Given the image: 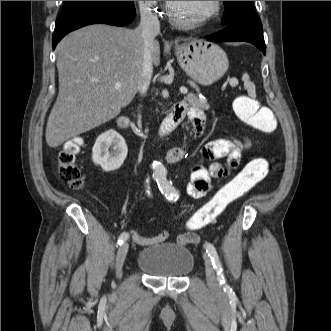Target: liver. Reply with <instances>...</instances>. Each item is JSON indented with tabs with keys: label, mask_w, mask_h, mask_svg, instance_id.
I'll use <instances>...</instances> for the list:
<instances>
[{
	"label": "liver",
	"mask_w": 331,
	"mask_h": 331,
	"mask_svg": "<svg viewBox=\"0 0 331 331\" xmlns=\"http://www.w3.org/2000/svg\"><path fill=\"white\" fill-rule=\"evenodd\" d=\"M56 51L59 94L45 133L51 148L115 118L144 81V41L138 30L90 25L65 36ZM151 59L154 65L160 62L155 40ZM117 82L120 89L114 88Z\"/></svg>",
	"instance_id": "6515ba94"
}]
</instances>
